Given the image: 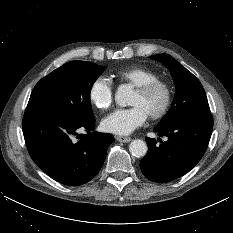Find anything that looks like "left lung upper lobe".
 Returning <instances> with one entry per match:
<instances>
[{"instance_id":"5c2ea615","label":"left lung upper lobe","mask_w":233,"mask_h":233,"mask_svg":"<svg viewBox=\"0 0 233 233\" xmlns=\"http://www.w3.org/2000/svg\"><path fill=\"white\" fill-rule=\"evenodd\" d=\"M169 70L175 83V97L168 113L158 127H167L192 114H210L208 100L199 80L168 54L153 55Z\"/></svg>"}]
</instances>
